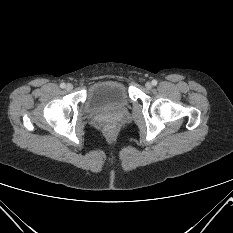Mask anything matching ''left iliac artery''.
Listing matches in <instances>:
<instances>
[{
	"instance_id": "obj_1",
	"label": "left iliac artery",
	"mask_w": 233,
	"mask_h": 233,
	"mask_svg": "<svg viewBox=\"0 0 233 233\" xmlns=\"http://www.w3.org/2000/svg\"><path fill=\"white\" fill-rule=\"evenodd\" d=\"M157 83H158L157 80H152V85H153V86H156Z\"/></svg>"
}]
</instances>
